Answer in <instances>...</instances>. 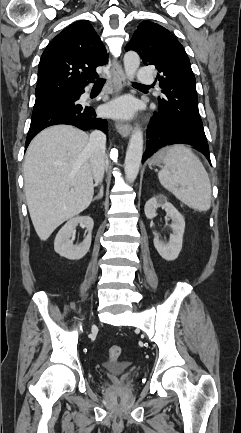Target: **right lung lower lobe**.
<instances>
[{
	"mask_svg": "<svg viewBox=\"0 0 241 433\" xmlns=\"http://www.w3.org/2000/svg\"><path fill=\"white\" fill-rule=\"evenodd\" d=\"M73 92L76 93V97L71 102L54 106L32 117L25 149L41 130L56 124H69L82 130L96 128L107 133V121L98 118L92 106L81 105L77 102L84 90L77 89Z\"/></svg>",
	"mask_w": 241,
	"mask_h": 433,
	"instance_id": "98d812e1",
	"label": "right lung lower lobe"
}]
</instances>
